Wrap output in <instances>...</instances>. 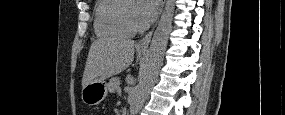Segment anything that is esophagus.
I'll list each match as a JSON object with an SVG mask.
<instances>
[{"instance_id":"1","label":"esophagus","mask_w":285,"mask_h":115,"mask_svg":"<svg viewBox=\"0 0 285 115\" xmlns=\"http://www.w3.org/2000/svg\"><path fill=\"white\" fill-rule=\"evenodd\" d=\"M163 5H164V1H162L161 4V11L163 9ZM152 34H153V30H151L150 32H148L137 44L138 48L141 49H147L149 47L151 38H152Z\"/></svg>"}]
</instances>
